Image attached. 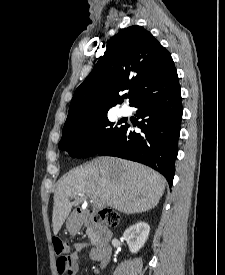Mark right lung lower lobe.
<instances>
[{
	"instance_id": "98d812e1",
	"label": "right lung lower lobe",
	"mask_w": 225,
	"mask_h": 275,
	"mask_svg": "<svg viewBox=\"0 0 225 275\" xmlns=\"http://www.w3.org/2000/svg\"><path fill=\"white\" fill-rule=\"evenodd\" d=\"M133 106L138 108L137 115L143 119L138 124L142 133H136L132 126L125 124L97 154L146 164L164 175L171 187L183 110L178 80L159 92L142 97Z\"/></svg>"
}]
</instances>
